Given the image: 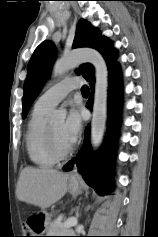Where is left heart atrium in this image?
Here are the masks:
<instances>
[{
	"label": "left heart atrium",
	"mask_w": 158,
	"mask_h": 237,
	"mask_svg": "<svg viewBox=\"0 0 158 237\" xmlns=\"http://www.w3.org/2000/svg\"><path fill=\"white\" fill-rule=\"evenodd\" d=\"M82 129V119L79 111L73 107L68 112L67 118L62 126V136L69 144H74L80 136Z\"/></svg>",
	"instance_id": "obj_1"
}]
</instances>
